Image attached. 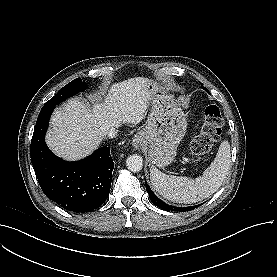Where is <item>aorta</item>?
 I'll return each mask as SVG.
<instances>
[{
	"mask_svg": "<svg viewBox=\"0 0 277 277\" xmlns=\"http://www.w3.org/2000/svg\"><path fill=\"white\" fill-rule=\"evenodd\" d=\"M126 166L131 172H139L143 168V159L140 155L132 154L128 156Z\"/></svg>",
	"mask_w": 277,
	"mask_h": 277,
	"instance_id": "762f6f07",
	"label": "aorta"
}]
</instances>
